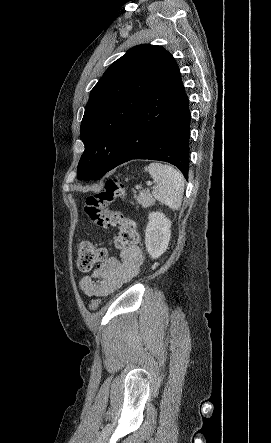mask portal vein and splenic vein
I'll return each instance as SVG.
<instances>
[{"label":"portal vein and splenic vein","mask_w":271,"mask_h":443,"mask_svg":"<svg viewBox=\"0 0 271 443\" xmlns=\"http://www.w3.org/2000/svg\"><path fill=\"white\" fill-rule=\"evenodd\" d=\"M147 186H152V182H146Z\"/></svg>","instance_id":"1"}]
</instances>
